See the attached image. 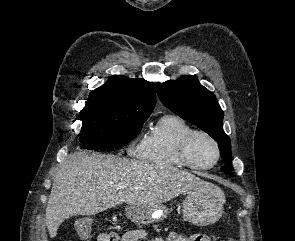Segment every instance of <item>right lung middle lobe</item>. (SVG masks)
Listing matches in <instances>:
<instances>
[{
    "instance_id": "right-lung-middle-lobe-1",
    "label": "right lung middle lobe",
    "mask_w": 295,
    "mask_h": 241,
    "mask_svg": "<svg viewBox=\"0 0 295 241\" xmlns=\"http://www.w3.org/2000/svg\"><path fill=\"white\" fill-rule=\"evenodd\" d=\"M150 114L107 95H89L80 112L79 141L89 150L121 147L139 134Z\"/></svg>"
}]
</instances>
